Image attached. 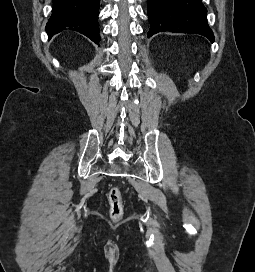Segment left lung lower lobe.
Masks as SVG:
<instances>
[{
  "mask_svg": "<svg viewBox=\"0 0 255 272\" xmlns=\"http://www.w3.org/2000/svg\"><path fill=\"white\" fill-rule=\"evenodd\" d=\"M147 13L151 28L147 37L158 32L195 33L214 42L207 24V9L201 0H148Z\"/></svg>",
  "mask_w": 255,
  "mask_h": 272,
  "instance_id": "left-lung-lower-lobe-1",
  "label": "left lung lower lobe"
}]
</instances>
